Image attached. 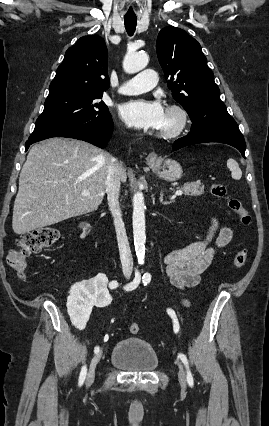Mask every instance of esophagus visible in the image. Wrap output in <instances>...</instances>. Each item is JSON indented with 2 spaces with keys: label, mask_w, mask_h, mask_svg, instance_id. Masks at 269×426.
Wrapping results in <instances>:
<instances>
[{
  "label": "esophagus",
  "mask_w": 269,
  "mask_h": 426,
  "mask_svg": "<svg viewBox=\"0 0 269 426\" xmlns=\"http://www.w3.org/2000/svg\"><path fill=\"white\" fill-rule=\"evenodd\" d=\"M146 160L148 164H156L158 161V155L155 152H151L148 154Z\"/></svg>",
  "instance_id": "34e87169"
}]
</instances>
